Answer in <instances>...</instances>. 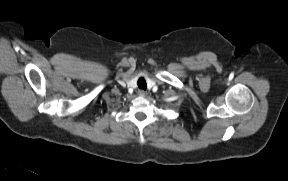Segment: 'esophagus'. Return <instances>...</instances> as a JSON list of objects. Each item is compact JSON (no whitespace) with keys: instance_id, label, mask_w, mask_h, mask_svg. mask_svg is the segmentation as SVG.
Returning <instances> with one entry per match:
<instances>
[{"instance_id":"1","label":"esophagus","mask_w":288,"mask_h":181,"mask_svg":"<svg viewBox=\"0 0 288 181\" xmlns=\"http://www.w3.org/2000/svg\"><path fill=\"white\" fill-rule=\"evenodd\" d=\"M138 95L141 97H145L147 95V92L144 90H138Z\"/></svg>"}]
</instances>
